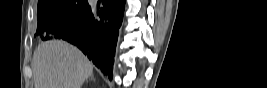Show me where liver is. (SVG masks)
<instances>
[{
    "instance_id": "obj_1",
    "label": "liver",
    "mask_w": 267,
    "mask_h": 88,
    "mask_svg": "<svg viewBox=\"0 0 267 88\" xmlns=\"http://www.w3.org/2000/svg\"><path fill=\"white\" fill-rule=\"evenodd\" d=\"M32 68L35 88H81L93 67L75 46L62 40L43 42L36 48Z\"/></svg>"
}]
</instances>
